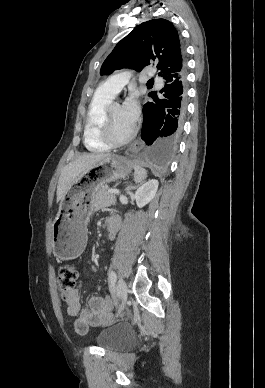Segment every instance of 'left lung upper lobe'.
Here are the masks:
<instances>
[{
    "mask_svg": "<svg viewBox=\"0 0 265 388\" xmlns=\"http://www.w3.org/2000/svg\"><path fill=\"white\" fill-rule=\"evenodd\" d=\"M149 65L155 66L162 78L186 68L178 31L168 20L153 19L138 25L115 46L100 74L122 68L141 71Z\"/></svg>",
    "mask_w": 265,
    "mask_h": 388,
    "instance_id": "1",
    "label": "left lung upper lobe"
}]
</instances>
